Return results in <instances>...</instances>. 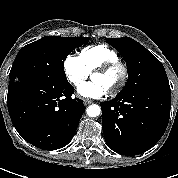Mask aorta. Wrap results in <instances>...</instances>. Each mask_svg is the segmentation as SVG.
<instances>
[{
  "instance_id": "obj_1",
  "label": "aorta",
  "mask_w": 178,
  "mask_h": 178,
  "mask_svg": "<svg viewBox=\"0 0 178 178\" xmlns=\"http://www.w3.org/2000/svg\"><path fill=\"white\" fill-rule=\"evenodd\" d=\"M86 112L89 117H97L101 113V108L98 105L93 104L87 107Z\"/></svg>"
}]
</instances>
